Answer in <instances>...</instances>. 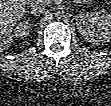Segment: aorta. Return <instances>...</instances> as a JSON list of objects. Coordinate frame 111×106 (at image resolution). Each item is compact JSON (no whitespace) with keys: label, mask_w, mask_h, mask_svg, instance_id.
I'll return each mask as SVG.
<instances>
[{"label":"aorta","mask_w":111,"mask_h":106,"mask_svg":"<svg viewBox=\"0 0 111 106\" xmlns=\"http://www.w3.org/2000/svg\"><path fill=\"white\" fill-rule=\"evenodd\" d=\"M55 15H56V17H58V18H64L65 15H66V13H65L64 10H59V11H57V12L55 13Z\"/></svg>","instance_id":"obj_1"}]
</instances>
